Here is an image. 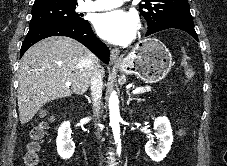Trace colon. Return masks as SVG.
Returning <instances> with one entry per match:
<instances>
[{"label": "colon", "instance_id": "1", "mask_svg": "<svg viewBox=\"0 0 227 166\" xmlns=\"http://www.w3.org/2000/svg\"><path fill=\"white\" fill-rule=\"evenodd\" d=\"M180 64L184 68L185 75L188 78H191L194 75V68L192 66L191 57L186 52L182 53L180 57ZM43 128L44 121H41L30 130V141L27 145V152L25 155V161L29 166L38 165L39 141L42 137Z\"/></svg>", "mask_w": 227, "mask_h": 166}]
</instances>
